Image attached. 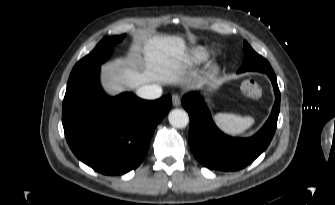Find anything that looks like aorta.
I'll return each mask as SVG.
<instances>
[{"label": "aorta", "instance_id": "762f6f07", "mask_svg": "<svg viewBox=\"0 0 335 205\" xmlns=\"http://www.w3.org/2000/svg\"><path fill=\"white\" fill-rule=\"evenodd\" d=\"M169 123L175 128H184L189 123L188 113L182 109H174L168 115Z\"/></svg>", "mask_w": 335, "mask_h": 205}]
</instances>
